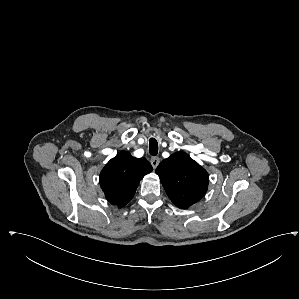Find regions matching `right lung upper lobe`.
<instances>
[{"instance_id":"right-lung-upper-lobe-1","label":"right lung upper lobe","mask_w":299,"mask_h":299,"mask_svg":"<svg viewBox=\"0 0 299 299\" xmlns=\"http://www.w3.org/2000/svg\"><path fill=\"white\" fill-rule=\"evenodd\" d=\"M152 170L145 158L137 159L122 151L101 171L100 186L110 203L123 207L133 198L140 180Z\"/></svg>"}]
</instances>
